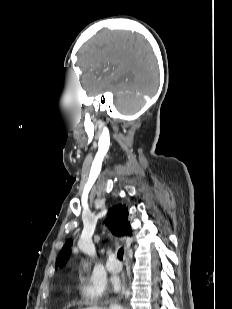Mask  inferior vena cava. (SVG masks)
Returning a JSON list of instances; mask_svg holds the SVG:
<instances>
[{"mask_svg": "<svg viewBox=\"0 0 232 309\" xmlns=\"http://www.w3.org/2000/svg\"><path fill=\"white\" fill-rule=\"evenodd\" d=\"M110 309H121V308L117 307V306H112V307H110Z\"/></svg>", "mask_w": 232, "mask_h": 309, "instance_id": "inferior-vena-cava-1", "label": "inferior vena cava"}]
</instances>
